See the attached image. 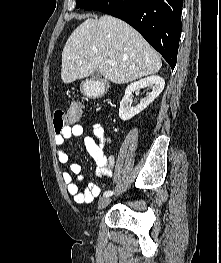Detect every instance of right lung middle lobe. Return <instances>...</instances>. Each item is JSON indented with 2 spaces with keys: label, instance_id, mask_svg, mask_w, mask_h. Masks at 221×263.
<instances>
[{
  "label": "right lung middle lobe",
  "instance_id": "dd1d6c3e",
  "mask_svg": "<svg viewBox=\"0 0 221 263\" xmlns=\"http://www.w3.org/2000/svg\"><path fill=\"white\" fill-rule=\"evenodd\" d=\"M103 0H77L76 8H83L84 10H92L99 5Z\"/></svg>",
  "mask_w": 221,
  "mask_h": 263
}]
</instances>
